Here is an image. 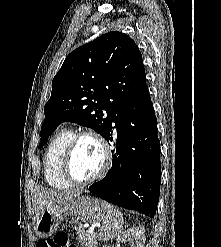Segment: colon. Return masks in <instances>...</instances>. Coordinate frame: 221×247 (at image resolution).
<instances>
[{
    "label": "colon",
    "instance_id": "1",
    "mask_svg": "<svg viewBox=\"0 0 221 247\" xmlns=\"http://www.w3.org/2000/svg\"><path fill=\"white\" fill-rule=\"evenodd\" d=\"M39 246L40 247H67V236L61 233L56 234L54 237L45 240L43 243H39Z\"/></svg>",
    "mask_w": 221,
    "mask_h": 247
}]
</instances>
